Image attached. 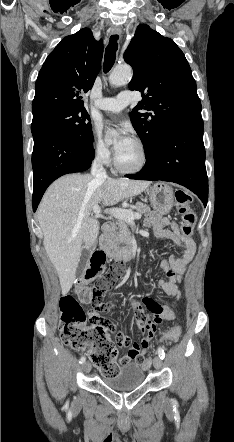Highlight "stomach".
<instances>
[{
    "label": "stomach",
    "mask_w": 234,
    "mask_h": 442,
    "mask_svg": "<svg viewBox=\"0 0 234 442\" xmlns=\"http://www.w3.org/2000/svg\"><path fill=\"white\" fill-rule=\"evenodd\" d=\"M150 203L154 210L168 214L174 205L173 189L165 183H156L149 190Z\"/></svg>",
    "instance_id": "0dacf381"
}]
</instances>
